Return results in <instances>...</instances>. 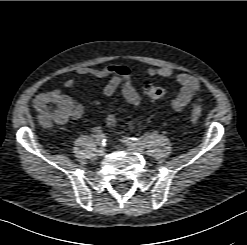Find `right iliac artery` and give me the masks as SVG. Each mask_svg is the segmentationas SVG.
I'll list each match as a JSON object with an SVG mask.
<instances>
[{"mask_svg":"<svg viewBox=\"0 0 247 245\" xmlns=\"http://www.w3.org/2000/svg\"><path fill=\"white\" fill-rule=\"evenodd\" d=\"M95 137H96V141H97L98 145H100V146H104L105 145L106 137H105L104 134L98 133L97 135H95Z\"/></svg>","mask_w":247,"mask_h":245,"instance_id":"obj_1","label":"right iliac artery"}]
</instances>
